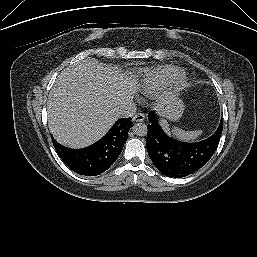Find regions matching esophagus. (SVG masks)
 I'll return each instance as SVG.
<instances>
[{
	"label": "esophagus",
	"mask_w": 257,
	"mask_h": 257,
	"mask_svg": "<svg viewBox=\"0 0 257 257\" xmlns=\"http://www.w3.org/2000/svg\"><path fill=\"white\" fill-rule=\"evenodd\" d=\"M144 119H145V115L141 112H138L133 116V121L135 122H142Z\"/></svg>",
	"instance_id": "esophagus-1"
}]
</instances>
